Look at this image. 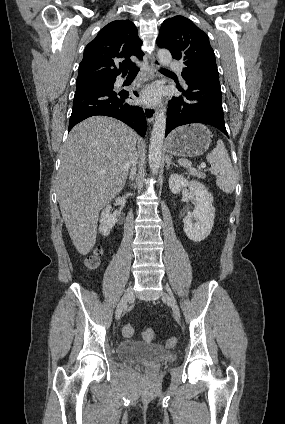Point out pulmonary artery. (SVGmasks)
Masks as SVG:
<instances>
[{
	"mask_svg": "<svg viewBox=\"0 0 285 424\" xmlns=\"http://www.w3.org/2000/svg\"><path fill=\"white\" fill-rule=\"evenodd\" d=\"M169 67L174 72H181L182 71V65L177 63V62H171Z\"/></svg>",
	"mask_w": 285,
	"mask_h": 424,
	"instance_id": "pulmonary-artery-1",
	"label": "pulmonary artery"
}]
</instances>
